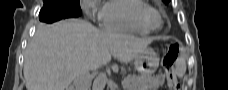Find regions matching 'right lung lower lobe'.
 I'll use <instances>...</instances> for the list:
<instances>
[{
  "label": "right lung lower lobe",
  "instance_id": "1",
  "mask_svg": "<svg viewBox=\"0 0 228 90\" xmlns=\"http://www.w3.org/2000/svg\"><path fill=\"white\" fill-rule=\"evenodd\" d=\"M65 18H69V16L59 12L55 5H44L39 14V19L47 23H52Z\"/></svg>",
  "mask_w": 228,
  "mask_h": 90
}]
</instances>
